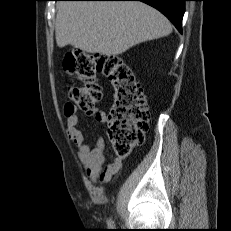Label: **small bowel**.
<instances>
[{"label": "small bowel", "mask_w": 231, "mask_h": 231, "mask_svg": "<svg viewBox=\"0 0 231 231\" xmlns=\"http://www.w3.org/2000/svg\"><path fill=\"white\" fill-rule=\"evenodd\" d=\"M66 126L70 139L78 147V158L85 166L89 178L96 182L100 178L103 182H108L114 174L118 172L121 161L113 158L112 162L103 167L105 162V143L102 137H98L94 145H89L81 129H79L80 118L75 108L70 105L65 106ZM98 122L106 123L107 118L104 112L93 110L90 112Z\"/></svg>", "instance_id": "obj_1"}]
</instances>
